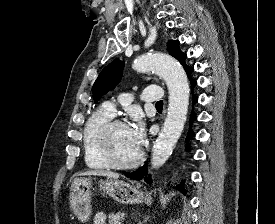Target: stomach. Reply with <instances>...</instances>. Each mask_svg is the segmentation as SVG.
Masks as SVG:
<instances>
[{"instance_id":"0dacf381","label":"stomach","mask_w":275,"mask_h":224,"mask_svg":"<svg viewBox=\"0 0 275 224\" xmlns=\"http://www.w3.org/2000/svg\"><path fill=\"white\" fill-rule=\"evenodd\" d=\"M100 190L111 196L122 204H137L144 200V193L139 186L116 180L106 179L98 182ZM92 179L75 178L70 188V207L76 217L84 222L91 216L92 206L90 195L92 189Z\"/></svg>"}]
</instances>
